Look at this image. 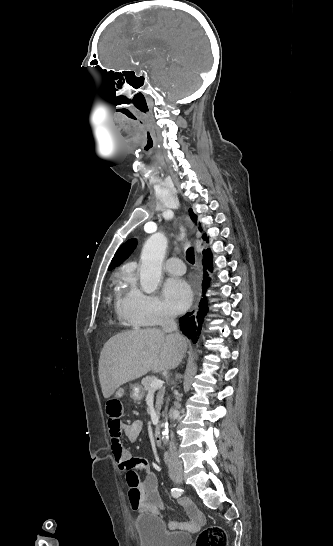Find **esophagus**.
Listing matches in <instances>:
<instances>
[{
	"label": "esophagus",
	"instance_id": "34e87169",
	"mask_svg": "<svg viewBox=\"0 0 333 546\" xmlns=\"http://www.w3.org/2000/svg\"><path fill=\"white\" fill-rule=\"evenodd\" d=\"M197 304H198V296H196L195 307L197 306Z\"/></svg>",
	"mask_w": 333,
	"mask_h": 546
}]
</instances>
